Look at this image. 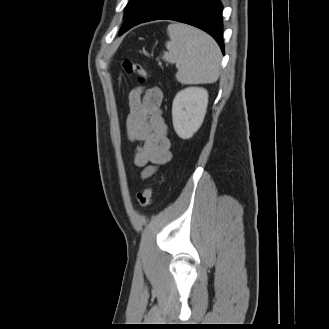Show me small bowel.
<instances>
[{"instance_id": "small-bowel-1", "label": "small bowel", "mask_w": 329, "mask_h": 329, "mask_svg": "<svg viewBox=\"0 0 329 329\" xmlns=\"http://www.w3.org/2000/svg\"><path fill=\"white\" fill-rule=\"evenodd\" d=\"M163 93L157 86L136 87L128 96L126 131L138 146L133 156L136 167L144 168L143 178L151 177L155 167L172 160L171 142L161 113Z\"/></svg>"}]
</instances>
